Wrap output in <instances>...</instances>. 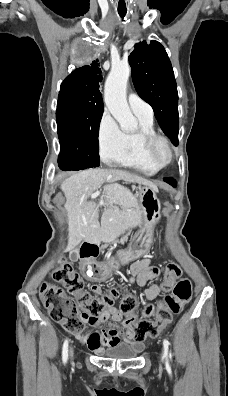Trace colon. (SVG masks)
<instances>
[{
  "label": "colon",
  "mask_w": 228,
  "mask_h": 396,
  "mask_svg": "<svg viewBox=\"0 0 228 396\" xmlns=\"http://www.w3.org/2000/svg\"><path fill=\"white\" fill-rule=\"evenodd\" d=\"M181 269L176 264H170L160 285L162 290L170 294L166 295L156 306H148L146 316L155 315V319H135L129 316L124 321L125 326L132 327L135 338L143 341L149 337H156L166 327L175 314L183 309L192 296V286L189 280L180 279ZM53 278L60 283L68 292L53 284L44 283L40 288V298L48 311L50 318L61 324L67 331L77 334L84 330L85 324L98 325L109 316L108 311L113 307L119 290L110 288L102 296H92L84 286V283L74 268L65 260L61 259L53 269ZM137 300L132 294H126L120 306V311L130 314L134 311Z\"/></svg>",
  "instance_id": "1"
}]
</instances>
